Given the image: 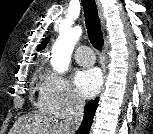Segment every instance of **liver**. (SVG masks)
Returning <instances> with one entry per match:
<instances>
[{
    "label": "liver",
    "instance_id": "1",
    "mask_svg": "<svg viewBox=\"0 0 153 134\" xmlns=\"http://www.w3.org/2000/svg\"><path fill=\"white\" fill-rule=\"evenodd\" d=\"M23 119H20L14 126V131L17 134L28 132L29 134H64L62 124L52 117L44 115H35L29 118L28 122L22 124Z\"/></svg>",
    "mask_w": 153,
    "mask_h": 134
}]
</instances>
